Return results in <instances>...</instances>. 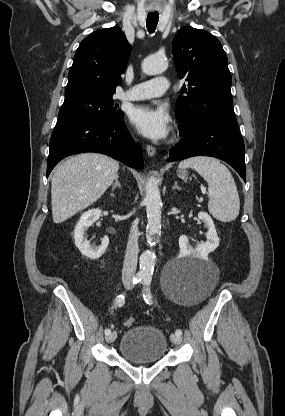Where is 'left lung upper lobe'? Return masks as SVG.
Segmentation results:
<instances>
[{
  "instance_id": "5c2ea615",
  "label": "left lung upper lobe",
  "mask_w": 285,
  "mask_h": 416,
  "mask_svg": "<svg viewBox=\"0 0 285 416\" xmlns=\"http://www.w3.org/2000/svg\"><path fill=\"white\" fill-rule=\"evenodd\" d=\"M172 52L178 76L187 82L176 102L180 132L210 120L235 118L232 78L221 43L207 31L185 26L175 35Z\"/></svg>"
}]
</instances>
